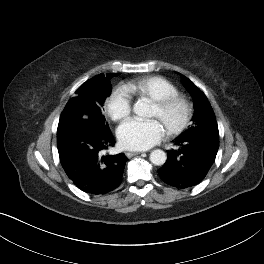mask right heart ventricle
<instances>
[{"label":"right heart ventricle","mask_w":264,"mask_h":264,"mask_svg":"<svg viewBox=\"0 0 264 264\" xmlns=\"http://www.w3.org/2000/svg\"><path fill=\"white\" fill-rule=\"evenodd\" d=\"M125 87L131 95L139 98H149L154 102L178 94L177 87L160 76L140 77L129 82Z\"/></svg>","instance_id":"obj_1"}]
</instances>
